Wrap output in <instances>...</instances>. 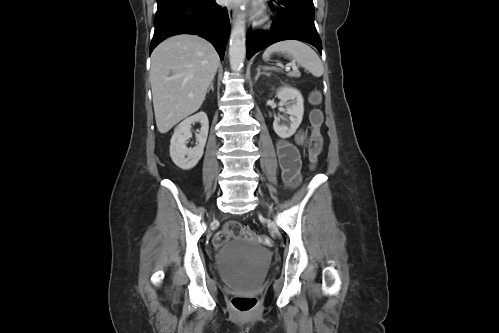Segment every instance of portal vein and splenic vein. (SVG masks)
I'll return each instance as SVG.
<instances>
[{
	"instance_id": "obj_1",
	"label": "portal vein and splenic vein",
	"mask_w": 499,
	"mask_h": 333,
	"mask_svg": "<svg viewBox=\"0 0 499 333\" xmlns=\"http://www.w3.org/2000/svg\"><path fill=\"white\" fill-rule=\"evenodd\" d=\"M290 67H292V69H293V70H296V69H297V66H296V65H294V64L287 65V66L285 67V69H286V70H289V69H290Z\"/></svg>"
}]
</instances>
